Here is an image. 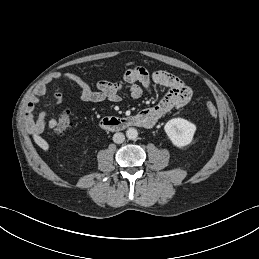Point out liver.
Instances as JSON below:
<instances>
[{"label":"liver","mask_w":259,"mask_h":259,"mask_svg":"<svg viewBox=\"0 0 259 259\" xmlns=\"http://www.w3.org/2000/svg\"><path fill=\"white\" fill-rule=\"evenodd\" d=\"M32 134H33V139L35 141V143L42 148L44 151H48L49 149V144L39 135H37L36 133H34L33 130H31Z\"/></svg>","instance_id":"liver-1"}]
</instances>
